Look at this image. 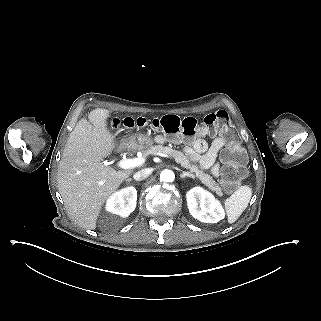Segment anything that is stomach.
<instances>
[{
    "instance_id": "1",
    "label": "stomach",
    "mask_w": 321,
    "mask_h": 321,
    "mask_svg": "<svg viewBox=\"0 0 321 321\" xmlns=\"http://www.w3.org/2000/svg\"><path fill=\"white\" fill-rule=\"evenodd\" d=\"M154 140L147 132L141 131L132 133L128 138L119 142V148L149 149L153 146Z\"/></svg>"
}]
</instances>
